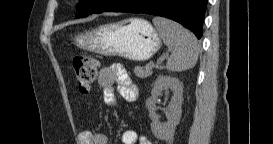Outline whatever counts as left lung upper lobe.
I'll return each mask as SVG.
<instances>
[{
  "instance_id": "5c2ea615",
  "label": "left lung upper lobe",
  "mask_w": 273,
  "mask_h": 144,
  "mask_svg": "<svg viewBox=\"0 0 273 144\" xmlns=\"http://www.w3.org/2000/svg\"><path fill=\"white\" fill-rule=\"evenodd\" d=\"M104 1L105 0H82V3L77 6L78 14L76 18L93 14L102 7Z\"/></svg>"
}]
</instances>
